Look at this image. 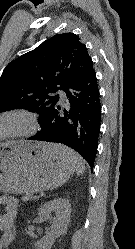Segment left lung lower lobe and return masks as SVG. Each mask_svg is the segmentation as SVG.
<instances>
[{"mask_svg":"<svg viewBox=\"0 0 135 249\" xmlns=\"http://www.w3.org/2000/svg\"><path fill=\"white\" fill-rule=\"evenodd\" d=\"M67 105L58 99L41 122L42 130L30 140L58 142L77 151L91 170L97 154L101 125V104L93 65L65 89Z\"/></svg>","mask_w":135,"mask_h":249,"instance_id":"left-lung-lower-lobe-1","label":"left lung lower lobe"}]
</instances>
